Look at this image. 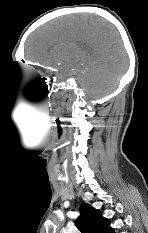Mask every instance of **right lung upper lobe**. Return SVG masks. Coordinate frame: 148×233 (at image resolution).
<instances>
[{
    "label": "right lung upper lobe",
    "instance_id": "cb5924a9",
    "mask_svg": "<svg viewBox=\"0 0 148 233\" xmlns=\"http://www.w3.org/2000/svg\"><path fill=\"white\" fill-rule=\"evenodd\" d=\"M75 225L81 233H114L109 219L87 203L81 205L80 216L75 220Z\"/></svg>",
    "mask_w": 148,
    "mask_h": 233
}]
</instances>
